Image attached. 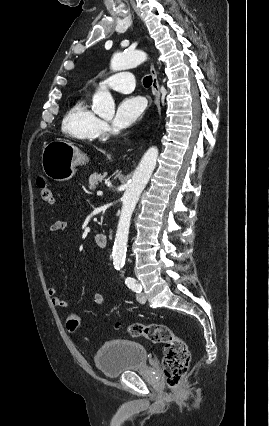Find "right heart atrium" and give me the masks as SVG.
<instances>
[{
  "label": "right heart atrium",
  "mask_w": 269,
  "mask_h": 426,
  "mask_svg": "<svg viewBox=\"0 0 269 426\" xmlns=\"http://www.w3.org/2000/svg\"><path fill=\"white\" fill-rule=\"evenodd\" d=\"M110 133V127L105 121L99 122L98 126V136L99 137H105Z\"/></svg>",
  "instance_id": "d8ad5b80"
}]
</instances>
